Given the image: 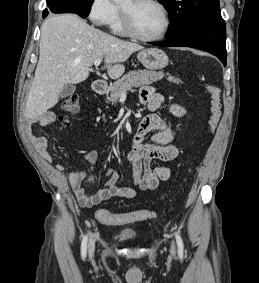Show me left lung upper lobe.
<instances>
[{"label": "left lung upper lobe", "instance_id": "1", "mask_svg": "<svg viewBox=\"0 0 259 283\" xmlns=\"http://www.w3.org/2000/svg\"><path fill=\"white\" fill-rule=\"evenodd\" d=\"M168 10L172 21L167 36L184 34L221 17L219 0H158Z\"/></svg>", "mask_w": 259, "mask_h": 283}]
</instances>
